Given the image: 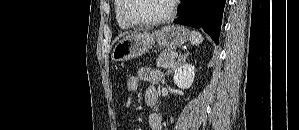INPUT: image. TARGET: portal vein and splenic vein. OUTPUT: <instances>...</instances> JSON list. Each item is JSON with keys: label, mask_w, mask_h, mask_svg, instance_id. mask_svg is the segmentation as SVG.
Wrapping results in <instances>:
<instances>
[{"label": "portal vein and splenic vein", "mask_w": 299, "mask_h": 130, "mask_svg": "<svg viewBox=\"0 0 299 130\" xmlns=\"http://www.w3.org/2000/svg\"><path fill=\"white\" fill-rule=\"evenodd\" d=\"M178 56V53H173L172 58H176Z\"/></svg>", "instance_id": "obj_1"}]
</instances>
